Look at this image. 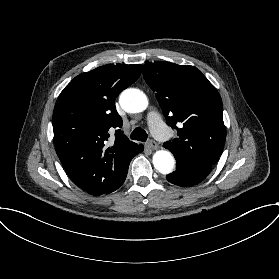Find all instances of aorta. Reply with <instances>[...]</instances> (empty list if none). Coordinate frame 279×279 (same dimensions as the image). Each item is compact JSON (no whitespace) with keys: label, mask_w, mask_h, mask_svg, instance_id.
Listing matches in <instances>:
<instances>
[{"label":"aorta","mask_w":279,"mask_h":279,"mask_svg":"<svg viewBox=\"0 0 279 279\" xmlns=\"http://www.w3.org/2000/svg\"><path fill=\"white\" fill-rule=\"evenodd\" d=\"M121 107L128 113L143 112L148 106L147 96L139 89L124 90L120 97ZM153 165L162 174H169L174 170L175 159L167 150H158L153 155Z\"/></svg>","instance_id":"obj_1"}]
</instances>
